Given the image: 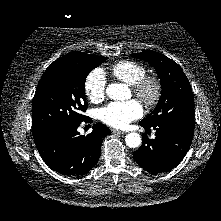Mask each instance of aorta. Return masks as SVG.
<instances>
[{"label": "aorta", "mask_w": 221, "mask_h": 221, "mask_svg": "<svg viewBox=\"0 0 221 221\" xmlns=\"http://www.w3.org/2000/svg\"><path fill=\"white\" fill-rule=\"evenodd\" d=\"M107 96L113 100H126L129 98V89L127 85L121 83L109 84L106 88ZM126 145L130 148H137L141 144V137L138 133L131 132L125 137Z\"/></svg>", "instance_id": "aorta-1"}]
</instances>
